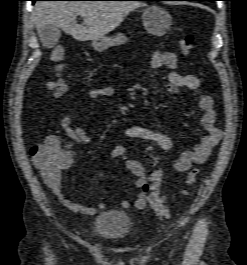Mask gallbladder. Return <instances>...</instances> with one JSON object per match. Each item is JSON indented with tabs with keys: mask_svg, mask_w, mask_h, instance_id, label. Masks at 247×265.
Returning <instances> with one entry per match:
<instances>
[{
	"mask_svg": "<svg viewBox=\"0 0 247 265\" xmlns=\"http://www.w3.org/2000/svg\"><path fill=\"white\" fill-rule=\"evenodd\" d=\"M61 36L59 27L53 24H46L39 32L40 41L45 48H53Z\"/></svg>",
	"mask_w": 247,
	"mask_h": 265,
	"instance_id": "bac80fb5",
	"label": "gallbladder"
}]
</instances>
